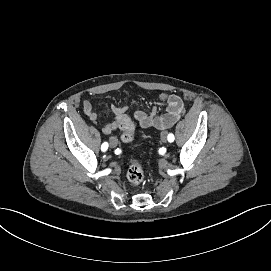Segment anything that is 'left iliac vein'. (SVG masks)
<instances>
[{
  "label": "left iliac vein",
  "instance_id": "4c4485c4",
  "mask_svg": "<svg viewBox=\"0 0 271 271\" xmlns=\"http://www.w3.org/2000/svg\"><path fill=\"white\" fill-rule=\"evenodd\" d=\"M161 140L163 142H167V140H168V133H167V131H162L161 132Z\"/></svg>",
  "mask_w": 271,
  "mask_h": 271
}]
</instances>
